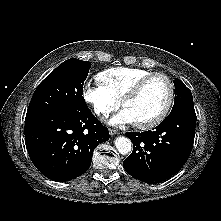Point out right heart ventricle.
Returning a JSON list of instances; mask_svg holds the SVG:
<instances>
[{"mask_svg":"<svg viewBox=\"0 0 221 221\" xmlns=\"http://www.w3.org/2000/svg\"><path fill=\"white\" fill-rule=\"evenodd\" d=\"M150 73L152 72L142 68L114 67L100 72L97 79L120 102L139 79Z\"/></svg>","mask_w":221,"mask_h":221,"instance_id":"obj_1","label":"right heart ventricle"}]
</instances>
